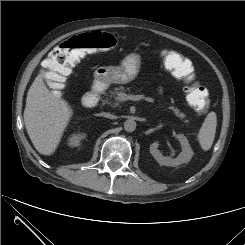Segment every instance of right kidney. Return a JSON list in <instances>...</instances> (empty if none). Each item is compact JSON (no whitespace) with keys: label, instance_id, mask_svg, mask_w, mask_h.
<instances>
[{"label":"right kidney","instance_id":"1","mask_svg":"<svg viewBox=\"0 0 245 245\" xmlns=\"http://www.w3.org/2000/svg\"><path fill=\"white\" fill-rule=\"evenodd\" d=\"M86 138L85 133H77V134H72L68 138V145L70 147H78L83 139Z\"/></svg>","mask_w":245,"mask_h":245}]
</instances>
